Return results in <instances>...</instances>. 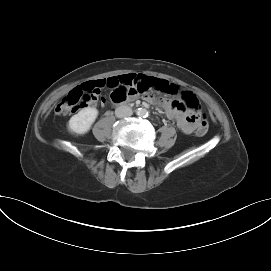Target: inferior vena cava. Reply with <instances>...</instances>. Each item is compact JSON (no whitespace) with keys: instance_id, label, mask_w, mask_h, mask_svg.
<instances>
[{"instance_id":"inferior-vena-cava-1","label":"inferior vena cava","mask_w":271,"mask_h":271,"mask_svg":"<svg viewBox=\"0 0 271 271\" xmlns=\"http://www.w3.org/2000/svg\"><path fill=\"white\" fill-rule=\"evenodd\" d=\"M133 114V111L130 107L128 106H119L118 108H116L115 110V115L118 118H124V117H129Z\"/></svg>"}]
</instances>
